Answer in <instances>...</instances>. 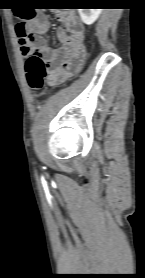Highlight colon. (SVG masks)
Wrapping results in <instances>:
<instances>
[{"label":"colon","instance_id":"1","mask_svg":"<svg viewBox=\"0 0 145 278\" xmlns=\"http://www.w3.org/2000/svg\"><path fill=\"white\" fill-rule=\"evenodd\" d=\"M21 16L23 19L28 20L32 18L33 14L30 10H24L21 13ZM17 35L22 51L29 53L34 43V38L22 22L17 25ZM25 71L30 88L36 91L40 90L44 86L47 78L49 77V68L41 55L30 54L26 60ZM76 72V68L65 66L60 78L53 81L52 84L61 85L71 78Z\"/></svg>","mask_w":145,"mask_h":278}]
</instances>
